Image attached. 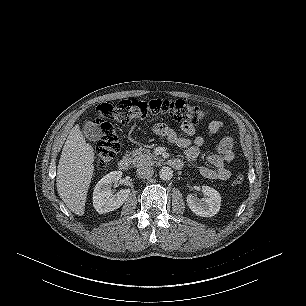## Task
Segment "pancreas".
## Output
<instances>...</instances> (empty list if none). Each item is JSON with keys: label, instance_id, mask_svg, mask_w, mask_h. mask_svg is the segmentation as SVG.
Returning a JSON list of instances; mask_svg holds the SVG:
<instances>
[{"label": "pancreas", "instance_id": "pancreas-1", "mask_svg": "<svg viewBox=\"0 0 306 306\" xmlns=\"http://www.w3.org/2000/svg\"><path fill=\"white\" fill-rule=\"evenodd\" d=\"M130 154L133 158V164L135 166L154 165L156 163L155 160H158L155 155L150 153L149 149H145L142 147L135 151H132Z\"/></svg>", "mask_w": 306, "mask_h": 306}]
</instances>
